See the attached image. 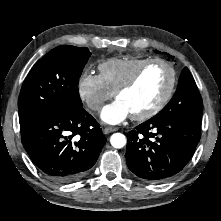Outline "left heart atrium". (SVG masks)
<instances>
[{
    "label": "left heart atrium",
    "mask_w": 221,
    "mask_h": 221,
    "mask_svg": "<svg viewBox=\"0 0 221 221\" xmlns=\"http://www.w3.org/2000/svg\"><path fill=\"white\" fill-rule=\"evenodd\" d=\"M130 114L129 109L120 100L104 107L101 113V118L108 124H117L125 120Z\"/></svg>",
    "instance_id": "left-heart-atrium-1"
}]
</instances>
